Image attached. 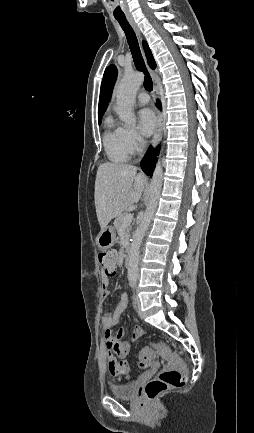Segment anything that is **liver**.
<instances>
[{"label":"liver","mask_w":254,"mask_h":433,"mask_svg":"<svg viewBox=\"0 0 254 433\" xmlns=\"http://www.w3.org/2000/svg\"><path fill=\"white\" fill-rule=\"evenodd\" d=\"M146 178L137 168L106 162L98 167L95 180V208L101 230L134 203L143 193Z\"/></svg>","instance_id":"obj_1"}]
</instances>
